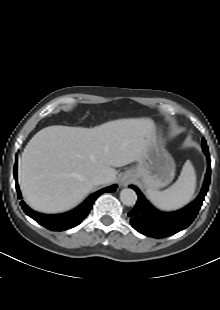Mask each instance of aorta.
Returning <instances> with one entry per match:
<instances>
[{"label": "aorta", "instance_id": "aorta-1", "mask_svg": "<svg viewBox=\"0 0 220 310\" xmlns=\"http://www.w3.org/2000/svg\"><path fill=\"white\" fill-rule=\"evenodd\" d=\"M120 200L125 206H133L137 201V194L131 188H124L120 192Z\"/></svg>", "mask_w": 220, "mask_h": 310}]
</instances>
